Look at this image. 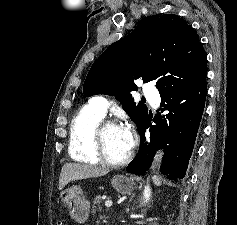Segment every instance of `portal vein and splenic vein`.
<instances>
[{
	"instance_id": "portal-vein-and-splenic-vein-1",
	"label": "portal vein and splenic vein",
	"mask_w": 237,
	"mask_h": 225,
	"mask_svg": "<svg viewBox=\"0 0 237 225\" xmlns=\"http://www.w3.org/2000/svg\"><path fill=\"white\" fill-rule=\"evenodd\" d=\"M112 201L111 200H106L105 201V206L107 207V208H110L111 206H112Z\"/></svg>"
}]
</instances>
